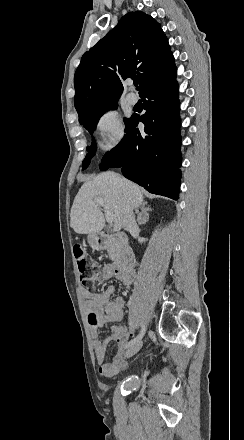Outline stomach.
I'll return each instance as SVG.
<instances>
[{
	"instance_id": "stomach-1",
	"label": "stomach",
	"mask_w": 244,
	"mask_h": 440,
	"mask_svg": "<svg viewBox=\"0 0 244 440\" xmlns=\"http://www.w3.org/2000/svg\"><path fill=\"white\" fill-rule=\"evenodd\" d=\"M99 238V234H88V244H90V246H93V248H101Z\"/></svg>"
}]
</instances>
